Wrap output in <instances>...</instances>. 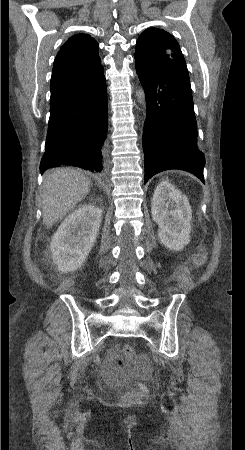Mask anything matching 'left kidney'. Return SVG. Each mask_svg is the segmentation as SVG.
I'll return each instance as SVG.
<instances>
[{"label":"left kidney","instance_id":"left-kidney-1","mask_svg":"<svg viewBox=\"0 0 245 450\" xmlns=\"http://www.w3.org/2000/svg\"><path fill=\"white\" fill-rule=\"evenodd\" d=\"M151 214L158 224L160 242L179 251L190 242L192 210L187 197L167 181L155 189Z\"/></svg>","mask_w":245,"mask_h":450}]
</instances>
